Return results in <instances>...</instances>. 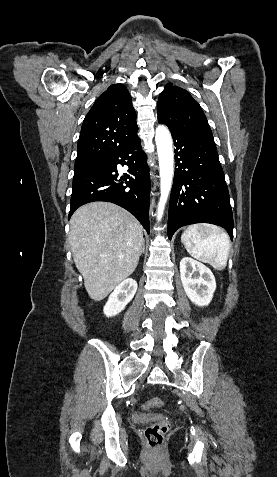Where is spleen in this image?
Returning a JSON list of instances; mask_svg holds the SVG:
<instances>
[{"instance_id":"1","label":"spleen","mask_w":277,"mask_h":477,"mask_svg":"<svg viewBox=\"0 0 277 477\" xmlns=\"http://www.w3.org/2000/svg\"><path fill=\"white\" fill-rule=\"evenodd\" d=\"M181 241L192 257L209 263L217 270L226 267L230 239L221 228L211 224H193L183 232Z\"/></svg>"}]
</instances>
